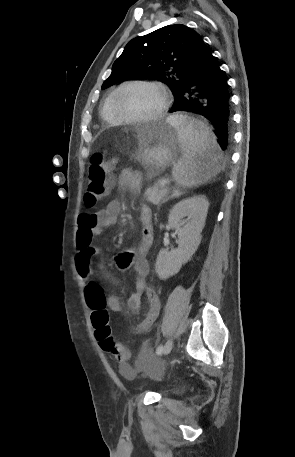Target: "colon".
I'll return each instance as SVG.
<instances>
[{
    "label": "colon",
    "instance_id": "5ec220e1",
    "mask_svg": "<svg viewBox=\"0 0 295 457\" xmlns=\"http://www.w3.org/2000/svg\"><path fill=\"white\" fill-rule=\"evenodd\" d=\"M114 162L107 159L105 153L97 152L92 155L88 171V184L84 196L87 207L95 206L105 196L113 185L111 171ZM99 285L92 281L86 287L87 303L92 311L91 320L98 341L99 350H104L112 355V362L130 360V351L114 341L109 326V316L102 299Z\"/></svg>",
    "mask_w": 295,
    "mask_h": 457
}]
</instances>
